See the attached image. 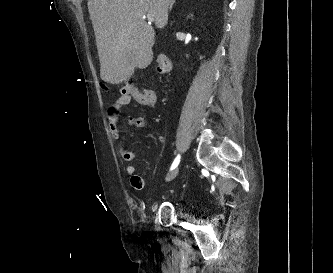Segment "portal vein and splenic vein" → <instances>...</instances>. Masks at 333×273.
<instances>
[{"mask_svg":"<svg viewBox=\"0 0 333 273\" xmlns=\"http://www.w3.org/2000/svg\"><path fill=\"white\" fill-rule=\"evenodd\" d=\"M144 18H147V20H148L149 22H152V21H153V18L150 17V16H144Z\"/></svg>","mask_w":333,"mask_h":273,"instance_id":"portal-vein-and-splenic-vein-1","label":"portal vein and splenic vein"}]
</instances>
